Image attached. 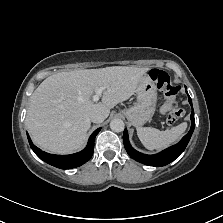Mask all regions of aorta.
<instances>
[{"label":"aorta","instance_id":"762f6f07","mask_svg":"<svg viewBox=\"0 0 223 223\" xmlns=\"http://www.w3.org/2000/svg\"><path fill=\"white\" fill-rule=\"evenodd\" d=\"M110 128L112 131L114 132H121L124 130L125 128V124H124V121L122 119H113L111 122H110Z\"/></svg>","mask_w":223,"mask_h":223}]
</instances>
